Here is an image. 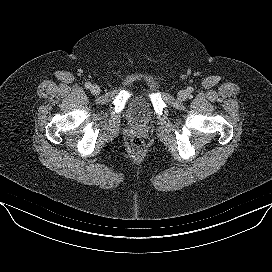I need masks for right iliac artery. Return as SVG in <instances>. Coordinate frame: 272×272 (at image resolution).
I'll use <instances>...</instances> for the list:
<instances>
[{"instance_id":"right-iliac-artery-1","label":"right iliac artery","mask_w":272,"mask_h":272,"mask_svg":"<svg viewBox=\"0 0 272 272\" xmlns=\"http://www.w3.org/2000/svg\"><path fill=\"white\" fill-rule=\"evenodd\" d=\"M85 87H86V88H90V87H91V83H90V82H86V83H85Z\"/></svg>"}]
</instances>
